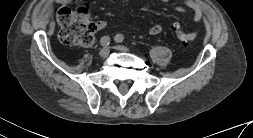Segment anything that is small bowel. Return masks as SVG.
<instances>
[{
    "instance_id": "1",
    "label": "small bowel",
    "mask_w": 253,
    "mask_h": 138,
    "mask_svg": "<svg viewBox=\"0 0 253 138\" xmlns=\"http://www.w3.org/2000/svg\"><path fill=\"white\" fill-rule=\"evenodd\" d=\"M162 3H167L169 2V0H159ZM56 3L58 4H62L65 6H69L72 4V0H55ZM187 8H191L194 11V21H199L202 17V10L201 8L194 2L192 1H186L183 4L177 5L175 7L176 11L180 12V13H185L187 11ZM95 27H96V31H103L107 28V23L105 21L102 20H98L94 22ZM174 26H179L178 23H175L173 25ZM163 31V26L160 24H154L151 25L148 29L149 34L151 35H159L161 34Z\"/></svg>"
}]
</instances>
